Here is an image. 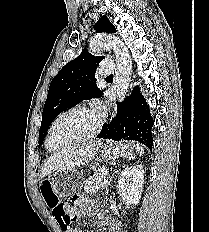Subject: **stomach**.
<instances>
[{"mask_svg":"<svg viewBox=\"0 0 209 232\" xmlns=\"http://www.w3.org/2000/svg\"><path fill=\"white\" fill-rule=\"evenodd\" d=\"M133 143H115L107 141L101 145V154L103 158L114 160L118 157H128L133 153ZM80 171L76 169H64L62 171H55L51 180V186L55 193L58 195H69L76 192L80 183H83V178H79Z\"/></svg>","mask_w":209,"mask_h":232,"instance_id":"0dacf381","label":"stomach"}]
</instances>
